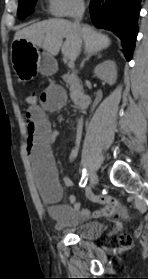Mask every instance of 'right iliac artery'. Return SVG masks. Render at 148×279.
Wrapping results in <instances>:
<instances>
[{
    "instance_id": "1",
    "label": "right iliac artery",
    "mask_w": 148,
    "mask_h": 279,
    "mask_svg": "<svg viewBox=\"0 0 148 279\" xmlns=\"http://www.w3.org/2000/svg\"><path fill=\"white\" fill-rule=\"evenodd\" d=\"M87 180H88V174H87L86 170L83 169V174H82V178L80 180L79 186L85 187ZM90 195H92V194H89V197H90Z\"/></svg>"
}]
</instances>
